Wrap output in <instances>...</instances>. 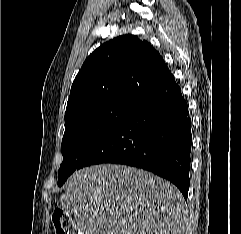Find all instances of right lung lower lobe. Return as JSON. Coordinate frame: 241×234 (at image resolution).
<instances>
[{"label": "right lung lower lobe", "instance_id": "obj_1", "mask_svg": "<svg viewBox=\"0 0 241 234\" xmlns=\"http://www.w3.org/2000/svg\"><path fill=\"white\" fill-rule=\"evenodd\" d=\"M191 144L188 106L171 74L134 104L80 168L100 163L143 168L175 184L187 200Z\"/></svg>", "mask_w": 241, "mask_h": 234}]
</instances>
